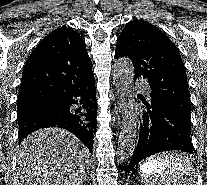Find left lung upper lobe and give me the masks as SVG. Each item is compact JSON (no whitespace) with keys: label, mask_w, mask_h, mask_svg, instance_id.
Segmentation results:
<instances>
[{"label":"left lung upper lobe","mask_w":207,"mask_h":185,"mask_svg":"<svg viewBox=\"0 0 207 185\" xmlns=\"http://www.w3.org/2000/svg\"><path fill=\"white\" fill-rule=\"evenodd\" d=\"M122 56L131 59L135 78L148 80L151 99L168 103L190 118L185 67L178 49L164 33L144 20L130 21L117 39L115 58Z\"/></svg>","instance_id":"obj_1"}]
</instances>
